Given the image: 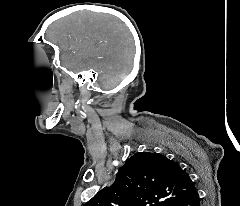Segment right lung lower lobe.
I'll return each mask as SVG.
<instances>
[{"instance_id":"98d812e1","label":"right lung lower lobe","mask_w":240,"mask_h":206,"mask_svg":"<svg viewBox=\"0 0 240 206\" xmlns=\"http://www.w3.org/2000/svg\"><path fill=\"white\" fill-rule=\"evenodd\" d=\"M169 206H200L199 194L195 189L191 194L176 200Z\"/></svg>"}]
</instances>
